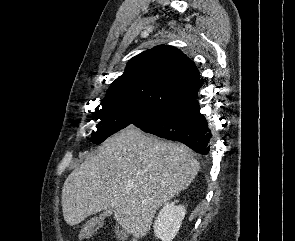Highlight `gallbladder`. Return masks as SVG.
I'll list each match as a JSON object with an SVG mask.
<instances>
[{
  "label": "gallbladder",
  "mask_w": 295,
  "mask_h": 241,
  "mask_svg": "<svg viewBox=\"0 0 295 241\" xmlns=\"http://www.w3.org/2000/svg\"><path fill=\"white\" fill-rule=\"evenodd\" d=\"M113 214V209L112 208H109V209H107V210H105L104 212H103V215L104 216H110V215H112Z\"/></svg>",
  "instance_id": "bac80fb5"
}]
</instances>
